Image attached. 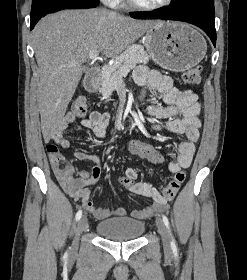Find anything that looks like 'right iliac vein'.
Returning <instances> with one entry per match:
<instances>
[{
    "label": "right iliac vein",
    "instance_id": "obj_1",
    "mask_svg": "<svg viewBox=\"0 0 247 280\" xmlns=\"http://www.w3.org/2000/svg\"><path fill=\"white\" fill-rule=\"evenodd\" d=\"M88 224V220L86 216L80 218L77 228H76V235L72 245V251L75 252L78 249L79 237L81 233L86 229Z\"/></svg>",
    "mask_w": 247,
    "mask_h": 280
}]
</instances>
